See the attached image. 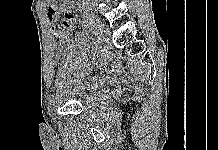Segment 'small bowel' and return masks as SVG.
Masks as SVG:
<instances>
[{
	"label": "small bowel",
	"mask_w": 218,
	"mask_h": 150,
	"mask_svg": "<svg viewBox=\"0 0 218 150\" xmlns=\"http://www.w3.org/2000/svg\"><path fill=\"white\" fill-rule=\"evenodd\" d=\"M48 3L47 18L51 24V32L55 37L63 30L73 29L76 21L75 0H63L62 6H57L55 0H46ZM63 15L60 21V15Z\"/></svg>",
	"instance_id": "c3829d8e"
}]
</instances>
